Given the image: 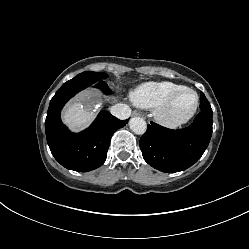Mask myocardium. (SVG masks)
<instances>
[{"instance_id":"obj_1","label":"myocardium","mask_w":249,"mask_h":249,"mask_svg":"<svg viewBox=\"0 0 249 249\" xmlns=\"http://www.w3.org/2000/svg\"><path fill=\"white\" fill-rule=\"evenodd\" d=\"M186 91L191 92L194 96V102L192 107L184 114L173 115L171 113V108L175 99L180 93ZM198 105H199V96L197 92L190 87L182 86L174 90L172 93H170L166 97V99L156 107L154 112L155 118L159 123H161L164 126L173 127V128L179 127L187 123L194 116V114L197 111Z\"/></svg>"}]
</instances>
